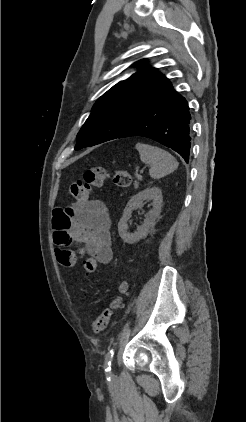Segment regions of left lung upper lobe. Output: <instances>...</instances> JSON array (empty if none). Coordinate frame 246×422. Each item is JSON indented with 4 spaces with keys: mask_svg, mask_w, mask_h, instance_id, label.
I'll return each instance as SVG.
<instances>
[{
    "mask_svg": "<svg viewBox=\"0 0 246 422\" xmlns=\"http://www.w3.org/2000/svg\"><path fill=\"white\" fill-rule=\"evenodd\" d=\"M145 59L134 65L142 66ZM171 86L153 67H144L101 96L77 135L75 149L118 138L140 119Z\"/></svg>",
    "mask_w": 246,
    "mask_h": 422,
    "instance_id": "obj_1",
    "label": "left lung upper lobe"
}]
</instances>
